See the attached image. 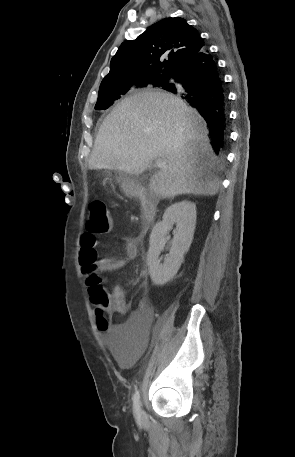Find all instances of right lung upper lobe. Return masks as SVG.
<instances>
[{
    "mask_svg": "<svg viewBox=\"0 0 295 457\" xmlns=\"http://www.w3.org/2000/svg\"><path fill=\"white\" fill-rule=\"evenodd\" d=\"M203 47L199 33L185 19L165 18L135 40L121 44L99 92L135 87L150 78L173 76L183 62Z\"/></svg>",
    "mask_w": 295,
    "mask_h": 457,
    "instance_id": "1",
    "label": "right lung upper lobe"
}]
</instances>
